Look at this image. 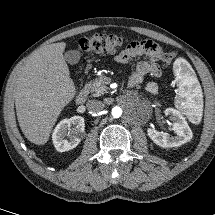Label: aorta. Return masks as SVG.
<instances>
[{"instance_id":"aorta-1","label":"aorta","mask_w":215,"mask_h":215,"mask_svg":"<svg viewBox=\"0 0 215 215\" xmlns=\"http://www.w3.org/2000/svg\"><path fill=\"white\" fill-rule=\"evenodd\" d=\"M121 113H122V111H121V109L119 107H115L112 110V114L116 118L119 117L121 115Z\"/></svg>"}]
</instances>
